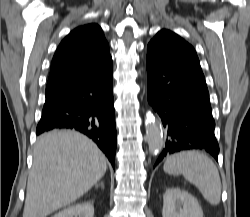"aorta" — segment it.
Wrapping results in <instances>:
<instances>
[{"label": "aorta", "mask_w": 250, "mask_h": 217, "mask_svg": "<svg viewBox=\"0 0 250 217\" xmlns=\"http://www.w3.org/2000/svg\"><path fill=\"white\" fill-rule=\"evenodd\" d=\"M145 128L149 150L153 155H158L164 147L162 126L153 115L148 114Z\"/></svg>", "instance_id": "aorta-1"}]
</instances>
